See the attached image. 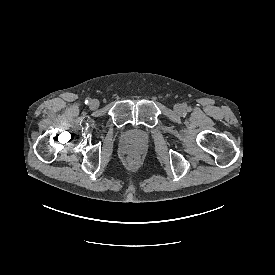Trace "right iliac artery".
<instances>
[{
    "mask_svg": "<svg viewBox=\"0 0 275 275\" xmlns=\"http://www.w3.org/2000/svg\"><path fill=\"white\" fill-rule=\"evenodd\" d=\"M90 102H91L90 99L85 100V104H89Z\"/></svg>",
    "mask_w": 275,
    "mask_h": 275,
    "instance_id": "82829eb1",
    "label": "right iliac artery"
}]
</instances>
